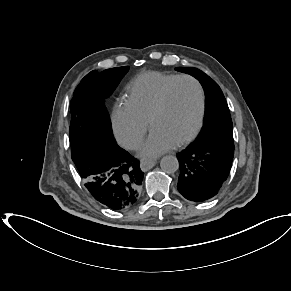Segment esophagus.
<instances>
[{"label": "esophagus", "instance_id": "34e87169", "mask_svg": "<svg viewBox=\"0 0 291 291\" xmlns=\"http://www.w3.org/2000/svg\"><path fill=\"white\" fill-rule=\"evenodd\" d=\"M157 164V161H142L140 163V167L143 171H147L150 170L151 168H153L155 165Z\"/></svg>", "mask_w": 291, "mask_h": 291}]
</instances>
